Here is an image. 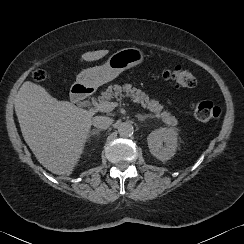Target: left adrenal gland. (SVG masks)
Listing matches in <instances>:
<instances>
[{"mask_svg":"<svg viewBox=\"0 0 244 244\" xmlns=\"http://www.w3.org/2000/svg\"><path fill=\"white\" fill-rule=\"evenodd\" d=\"M136 117L138 118L139 121L145 122L147 118H150L148 115H142V114H137Z\"/></svg>","mask_w":244,"mask_h":244,"instance_id":"left-adrenal-gland-1","label":"left adrenal gland"}]
</instances>
